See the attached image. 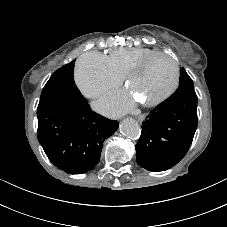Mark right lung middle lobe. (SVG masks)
Returning <instances> with one entry per match:
<instances>
[{
  "label": "right lung middle lobe",
  "instance_id": "1",
  "mask_svg": "<svg viewBox=\"0 0 227 227\" xmlns=\"http://www.w3.org/2000/svg\"><path fill=\"white\" fill-rule=\"evenodd\" d=\"M74 60L56 70L41 93L40 100L46 98L63 99L66 97H81L73 79Z\"/></svg>",
  "mask_w": 227,
  "mask_h": 227
}]
</instances>
